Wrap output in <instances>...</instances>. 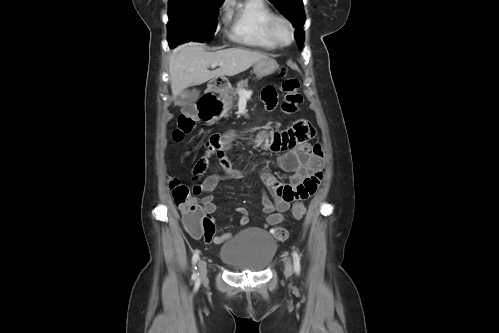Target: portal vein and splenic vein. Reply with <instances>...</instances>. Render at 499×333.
Returning <instances> with one entry per match:
<instances>
[{
  "label": "portal vein and splenic vein",
  "mask_w": 499,
  "mask_h": 333,
  "mask_svg": "<svg viewBox=\"0 0 499 333\" xmlns=\"http://www.w3.org/2000/svg\"><path fill=\"white\" fill-rule=\"evenodd\" d=\"M223 64L221 63H213L211 64V67L212 68H216L217 66H222ZM252 92L251 91H247L245 89H240L238 90V95L240 98H249L251 96Z\"/></svg>",
  "instance_id": "1"
}]
</instances>
